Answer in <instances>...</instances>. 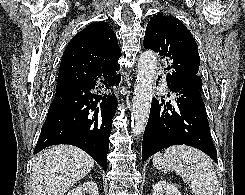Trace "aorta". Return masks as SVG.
I'll return each instance as SVG.
<instances>
[{"instance_id": "aorta-1", "label": "aorta", "mask_w": 245, "mask_h": 195, "mask_svg": "<svg viewBox=\"0 0 245 195\" xmlns=\"http://www.w3.org/2000/svg\"><path fill=\"white\" fill-rule=\"evenodd\" d=\"M156 63V55L151 50H146L138 58L132 103V134L134 136H140L147 124L153 96Z\"/></svg>"}]
</instances>
